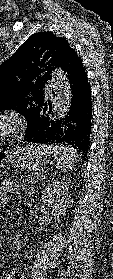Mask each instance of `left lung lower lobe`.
I'll use <instances>...</instances> for the list:
<instances>
[{"label":"left lung lower lobe","instance_id":"left-lung-lower-lobe-1","mask_svg":"<svg viewBox=\"0 0 113 279\" xmlns=\"http://www.w3.org/2000/svg\"><path fill=\"white\" fill-rule=\"evenodd\" d=\"M61 69L66 74L72 91L70 111L65 118L56 119L50 100L45 98L43 104L37 107L32 127L26 132L23 141L71 145L86 159L92 126L91 89L87 73L75 50Z\"/></svg>","mask_w":113,"mask_h":279}]
</instances>
